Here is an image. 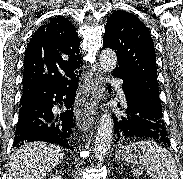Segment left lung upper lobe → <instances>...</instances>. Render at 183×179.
I'll use <instances>...</instances> for the list:
<instances>
[{"label":"left lung upper lobe","instance_id":"obj_1","mask_svg":"<svg viewBox=\"0 0 183 179\" xmlns=\"http://www.w3.org/2000/svg\"><path fill=\"white\" fill-rule=\"evenodd\" d=\"M103 47L112 48L118 65L113 75L128 82L146 107L162 117L153 40L135 15L115 11L107 20Z\"/></svg>","mask_w":183,"mask_h":179}]
</instances>
